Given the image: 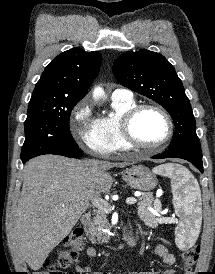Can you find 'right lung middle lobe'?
I'll list each match as a JSON object with an SVG mask.
<instances>
[{"instance_id": "1", "label": "right lung middle lobe", "mask_w": 215, "mask_h": 274, "mask_svg": "<svg viewBox=\"0 0 215 274\" xmlns=\"http://www.w3.org/2000/svg\"><path fill=\"white\" fill-rule=\"evenodd\" d=\"M77 102H30L21 159L77 148L69 118Z\"/></svg>"}]
</instances>
